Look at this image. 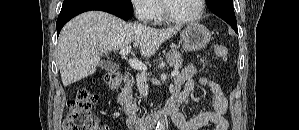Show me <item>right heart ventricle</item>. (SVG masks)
Returning <instances> with one entry per match:
<instances>
[{
	"mask_svg": "<svg viewBox=\"0 0 299 130\" xmlns=\"http://www.w3.org/2000/svg\"><path fill=\"white\" fill-rule=\"evenodd\" d=\"M158 9H159V11H158V15H157V17L154 19L156 22H161L162 20H163V16H162V14H161V8H159L158 7Z\"/></svg>",
	"mask_w": 299,
	"mask_h": 130,
	"instance_id": "1",
	"label": "right heart ventricle"
}]
</instances>
